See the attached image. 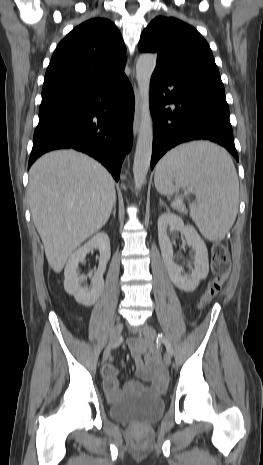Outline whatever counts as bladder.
Masks as SVG:
<instances>
[{"label": "bladder", "mask_w": 263, "mask_h": 465, "mask_svg": "<svg viewBox=\"0 0 263 465\" xmlns=\"http://www.w3.org/2000/svg\"><path fill=\"white\" fill-rule=\"evenodd\" d=\"M164 406L163 399L158 395L134 393L112 403L110 416L124 423L151 424L162 416Z\"/></svg>", "instance_id": "obj_1"}]
</instances>
